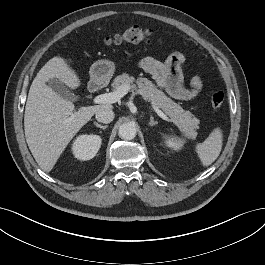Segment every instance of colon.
Listing matches in <instances>:
<instances>
[{
  "label": "colon",
  "mask_w": 265,
  "mask_h": 265,
  "mask_svg": "<svg viewBox=\"0 0 265 265\" xmlns=\"http://www.w3.org/2000/svg\"><path fill=\"white\" fill-rule=\"evenodd\" d=\"M152 33L148 29L139 26H131L124 32L106 36L104 43L107 46H118L123 43H140L149 41ZM207 98L214 108H219L224 103V93L220 90L212 89L207 92Z\"/></svg>",
  "instance_id": "1"
}]
</instances>
